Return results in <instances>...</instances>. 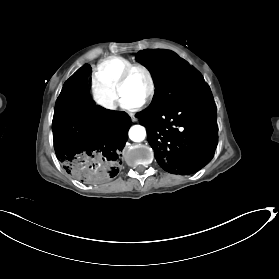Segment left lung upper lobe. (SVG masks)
Here are the masks:
<instances>
[{
  "instance_id": "5c2ea615",
  "label": "left lung upper lobe",
  "mask_w": 279,
  "mask_h": 279,
  "mask_svg": "<svg viewBox=\"0 0 279 279\" xmlns=\"http://www.w3.org/2000/svg\"><path fill=\"white\" fill-rule=\"evenodd\" d=\"M136 59L149 69L155 84L152 103L142 112L146 116L165 110L206 85L203 77L172 51L144 50Z\"/></svg>"
}]
</instances>
